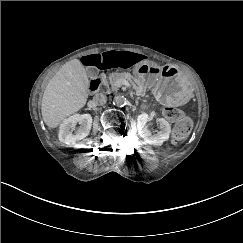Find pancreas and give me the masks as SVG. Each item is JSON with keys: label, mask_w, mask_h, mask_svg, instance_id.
<instances>
[{"label": "pancreas", "mask_w": 243, "mask_h": 243, "mask_svg": "<svg viewBox=\"0 0 243 243\" xmlns=\"http://www.w3.org/2000/svg\"><path fill=\"white\" fill-rule=\"evenodd\" d=\"M125 78H127L128 81L132 82L133 89L136 91V95L145 96L146 88L142 83L138 82V80L134 77L133 74L111 73L110 75H105L103 79L105 82L110 83L113 91H117L120 86L121 80Z\"/></svg>", "instance_id": "cf45deb5"}]
</instances>
